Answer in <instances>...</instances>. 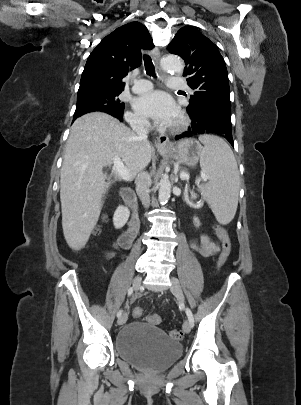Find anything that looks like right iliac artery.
<instances>
[{"mask_svg": "<svg viewBox=\"0 0 301 405\" xmlns=\"http://www.w3.org/2000/svg\"><path fill=\"white\" fill-rule=\"evenodd\" d=\"M132 293H133V288L130 287V288L128 289V296H130ZM122 312H123L122 309H120V310L117 312V317H118V318L122 315Z\"/></svg>", "mask_w": 301, "mask_h": 405, "instance_id": "obj_1", "label": "right iliac artery"}]
</instances>
